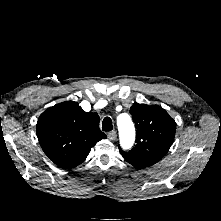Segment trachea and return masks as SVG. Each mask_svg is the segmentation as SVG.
<instances>
[{"label":"trachea","instance_id":"trachea-1","mask_svg":"<svg viewBox=\"0 0 221 221\" xmlns=\"http://www.w3.org/2000/svg\"><path fill=\"white\" fill-rule=\"evenodd\" d=\"M113 129L112 120L109 117H105L102 123V130L109 132Z\"/></svg>","mask_w":221,"mask_h":221}]
</instances>
